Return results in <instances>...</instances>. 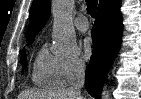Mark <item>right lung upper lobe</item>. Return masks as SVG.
Instances as JSON below:
<instances>
[{
  "instance_id": "1",
  "label": "right lung upper lobe",
  "mask_w": 141,
  "mask_h": 99,
  "mask_svg": "<svg viewBox=\"0 0 141 99\" xmlns=\"http://www.w3.org/2000/svg\"><path fill=\"white\" fill-rule=\"evenodd\" d=\"M106 0H100L99 5ZM50 2L49 0H34L30 15L29 32L27 36L28 43L34 40V37L46 24L50 16Z\"/></svg>"
}]
</instances>
